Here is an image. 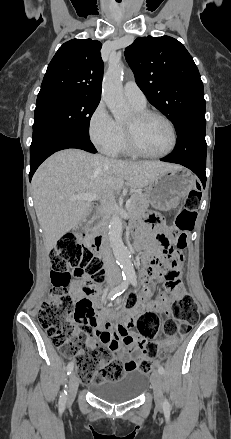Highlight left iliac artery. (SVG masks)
<instances>
[{
  "label": "left iliac artery",
  "mask_w": 231,
  "mask_h": 439,
  "mask_svg": "<svg viewBox=\"0 0 231 439\" xmlns=\"http://www.w3.org/2000/svg\"><path fill=\"white\" fill-rule=\"evenodd\" d=\"M130 282H131V284H132L133 286H136V285H137V280H136V278H131V279H130ZM158 371H159V373H160L161 375H163L164 372H165L163 366H159V367H158ZM164 407L167 408V409L170 408V403H169L167 400L164 401Z\"/></svg>",
  "instance_id": "44dca946"
}]
</instances>
